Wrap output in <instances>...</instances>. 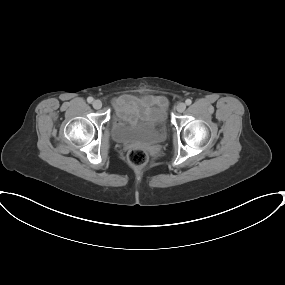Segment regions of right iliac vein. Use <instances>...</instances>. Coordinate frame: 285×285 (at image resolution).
<instances>
[{
	"label": "right iliac vein",
	"instance_id": "right-iliac-vein-1",
	"mask_svg": "<svg viewBox=\"0 0 285 285\" xmlns=\"http://www.w3.org/2000/svg\"><path fill=\"white\" fill-rule=\"evenodd\" d=\"M92 105L95 109H100L102 107V102L97 99L92 103Z\"/></svg>",
	"mask_w": 285,
	"mask_h": 285
}]
</instances>
